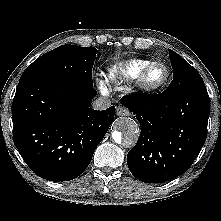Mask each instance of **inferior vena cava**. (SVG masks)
Masks as SVG:
<instances>
[{"mask_svg":"<svg viewBox=\"0 0 221 221\" xmlns=\"http://www.w3.org/2000/svg\"><path fill=\"white\" fill-rule=\"evenodd\" d=\"M111 106V100L106 97L97 98L92 103V108L94 110H105Z\"/></svg>","mask_w":221,"mask_h":221,"instance_id":"602c4592","label":"inferior vena cava"}]
</instances>
